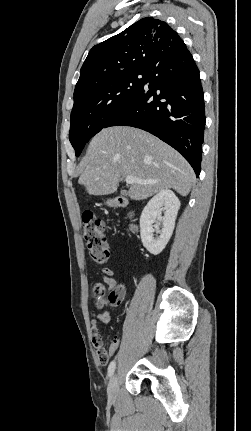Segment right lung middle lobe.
Here are the masks:
<instances>
[{
	"mask_svg": "<svg viewBox=\"0 0 251 431\" xmlns=\"http://www.w3.org/2000/svg\"><path fill=\"white\" fill-rule=\"evenodd\" d=\"M146 70L114 77L74 95L69 139L76 156L85 144L143 87Z\"/></svg>",
	"mask_w": 251,
	"mask_h": 431,
	"instance_id": "right-lung-middle-lobe-1",
	"label": "right lung middle lobe"
}]
</instances>
